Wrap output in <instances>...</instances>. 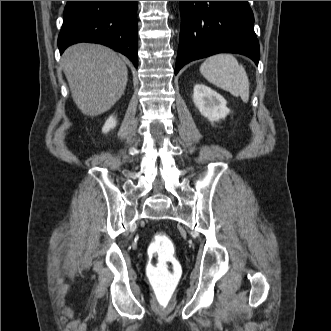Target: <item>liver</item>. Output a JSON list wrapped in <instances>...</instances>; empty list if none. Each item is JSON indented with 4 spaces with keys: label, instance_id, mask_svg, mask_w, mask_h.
<instances>
[{
    "label": "liver",
    "instance_id": "1",
    "mask_svg": "<svg viewBox=\"0 0 331 331\" xmlns=\"http://www.w3.org/2000/svg\"><path fill=\"white\" fill-rule=\"evenodd\" d=\"M62 66L72 98L85 115L108 111L121 98L128 81L125 63L99 44L70 46L62 56Z\"/></svg>",
    "mask_w": 331,
    "mask_h": 331
}]
</instances>
